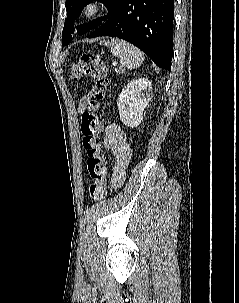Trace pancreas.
I'll return each mask as SVG.
<instances>
[{
    "label": "pancreas",
    "instance_id": "obj_1",
    "mask_svg": "<svg viewBox=\"0 0 239 303\" xmlns=\"http://www.w3.org/2000/svg\"><path fill=\"white\" fill-rule=\"evenodd\" d=\"M116 72H117V73H120V74H121V73H124V69H122L121 67H119L118 69H116Z\"/></svg>",
    "mask_w": 239,
    "mask_h": 303
}]
</instances>
